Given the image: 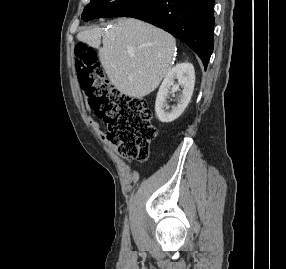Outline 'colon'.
<instances>
[{
    "label": "colon",
    "mask_w": 286,
    "mask_h": 269,
    "mask_svg": "<svg viewBox=\"0 0 286 269\" xmlns=\"http://www.w3.org/2000/svg\"><path fill=\"white\" fill-rule=\"evenodd\" d=\"M75 65L80 86L105 122L109 140L122 156L145 161L156 136L148 102L113 89L103 75L95 51L84 43L75 46Z\"/></svg>",
    "instance_id": "1"
}]
</instances>
